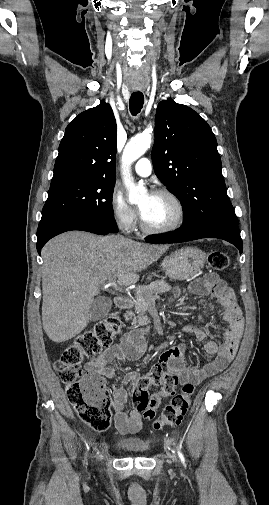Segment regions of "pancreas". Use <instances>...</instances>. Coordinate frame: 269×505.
I'll return each instance as SVG.
<instances>
[{"label": "pancreas", "mask_w": 269, "mask_h": 505, "mask_svg": "<svg viewBox=\"0 0 269 505\" xmlns=\"http://www.w3.org/2000/svg\"><path fill=\"white\" fill-rule=\"evenodd\" d=\"M171 290V286L164 280H158L151 283L148 286L140 287L135 290V313L128 310L125 314V320L128 321L132 319L133 324L143 325L146 322V317H144L145 312L154 303L155 297L158 294L168 292Z\"/></svg>", "instance_id": "cf45deb5"}]
</instances>
